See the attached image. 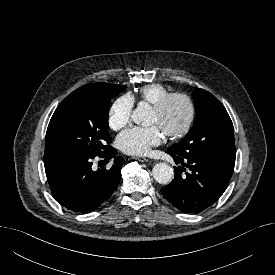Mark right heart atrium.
Instances as JSON below:
<instances>
[{
  "mask_svg": "<svg viewBox=\"0 0 275 275\" xmlns=\"http://www.w3.org/2000/svg\"><path fill=\"white\" fill-rule=\"evenodd\" d=\"M134 99L130 95H122L111 105L108 113L109 127L118 131L127 126L132 119Z\"/></svg>",
  "mask_w": 275,
  "mask_h": 275,
  "instance_id": "1",
  "label": "right heart atrium"
}]
</instances>
